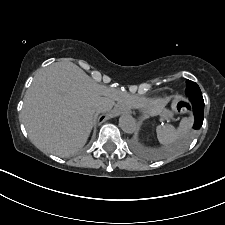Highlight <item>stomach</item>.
Returning a JSON list of instances; mask_svg holds the SVG:
<instances>
[{
  "label": "stomach",
  "mask_w": 225,
  "mask_h": 225,
  "mask_svg": "<svg viewBox=\"0 0 225 225\" xmlns=\"http://www.w3.org/2000/svg\"><path fill=\"white\" fill-rule=\"evenodd\" d=\"M164 102H154V103H151L148 108L150 110H155L156 112H160L163 107H164Z\"/></svg>",
  "instance_id": "1"
}]
</instances>
